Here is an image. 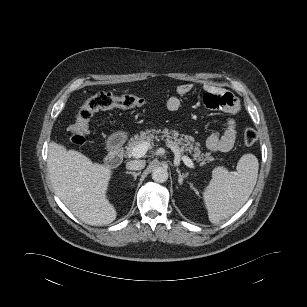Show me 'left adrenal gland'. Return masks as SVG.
Here are the masks:
<instances>
[{"label":"left adrenal gland","instance_id":"obj_1","mask_svg":"<svg viewBox=\"0 0 307 307\" xmlns=\"http://www.w3.org/2000/svg\"><path fill=\"white\" fill-rule=\"evenodd\" d=\"M177 173H178V183L179 185L183 184L184 179H186L188 177V172H186L185 174L180 172V170L177 168L176 169Z\"/></svg>","mask_w":307,"mask_h":307}]
</instances>
